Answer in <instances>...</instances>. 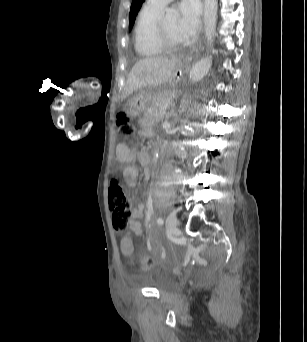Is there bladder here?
<instances>
[{"instance_id": "1", "label": "bladder", "mask_w": 307, "mask_h": 342, "mask_svg": "<svg viewBox=\"0 0 307 342\" xmlns=\"http://www.w3.org/2000/svg\"><path fill=\"white\" fill-rule=\"evenodd\" d=\"M146 285L160 292H164L175 286V278L169 273L157 271L148 278Z\"/></svg>"}]
</instances>
